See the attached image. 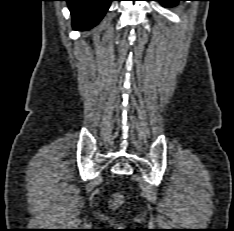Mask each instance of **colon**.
Instances as JSON below:
<instances>
[{"label":"colon","mask_w":234,"mask_h":231,"mask_svg":"<svg viewBox=\"0 0 234 231\" xmlns=\"http://www.w3.org/2000/svg\"><path fill=\"white\" fill-rule=\"evenodd\" d=\"M120 203H121V200H120V197L118 196L114 197L111 201L112 207H117L120 205Z\"/></svg>","instance_id":"5ec220e1"}]
</instances>
